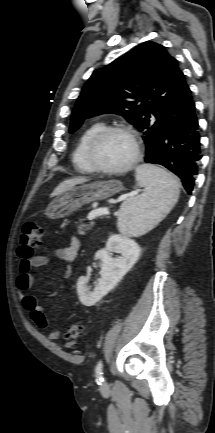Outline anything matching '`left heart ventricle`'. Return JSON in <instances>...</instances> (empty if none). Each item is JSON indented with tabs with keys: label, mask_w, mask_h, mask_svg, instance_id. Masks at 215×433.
Here are the masks:
<instances>
[{
	"label": "left heart ventricle",
	"mask_w": 215,
	"mask_h": 433,
	"mask_svg": "<svg viewBox=\"0 0 215 433\" xmlns=\"http://www.w3.org/2000/svg\"><path fill=\"white\" fill-rule=\"evenodd\" d=\"M134 154L131 139L121 133H111L96 145L94 158L98 165L106 168H119L126 165Z\"/></svg>",
	"instance_id": "b2bd125f"
}]
</instances>
